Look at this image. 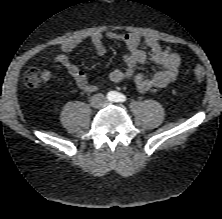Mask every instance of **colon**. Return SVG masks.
Returning <instances> with one entry per match:
<instances>
[{
	"mask_svg": "<svg viewBox=\"0 0 222 219\" xmlns=\"http://www.w3.org/2000/svg\"><path fill=\"white\" fill-rule=\"evenodd\" d=\"M192 72L197 79H203L206 74L205 68L201 65H194ZM24 79L27 86L35 88L39 86L42 77L37 67H30L26 70Z\"/></svg>",
	"mask_w": 222,
	"mask_h": 219,
	"instance_id": "5ec220e1",
	"label": "colon"
}]
</instances>
